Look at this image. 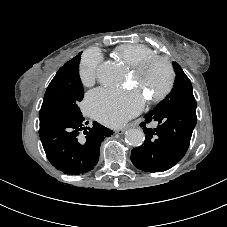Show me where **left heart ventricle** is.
Returning <instances> with one entry per match:
<instances>
[{
	"instance_id": "obj_1",
	"label": "left heart ventricle",
	"mask_w": 227,
	"mask_h": 227,
	"mask_svg": "<svg viewBox=\"0 0 227 227\" xmlns=\"http://www.w3.org/2000/svg\"><path fill=\"white\" fill-rule=\"evenodd\" d=\"M167 78V70L162 63L153 64L139 77L132 75V81L147 98L158 94L166 85Z\"/></svg>"
}]
</instances>
